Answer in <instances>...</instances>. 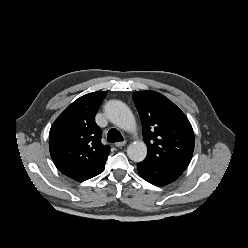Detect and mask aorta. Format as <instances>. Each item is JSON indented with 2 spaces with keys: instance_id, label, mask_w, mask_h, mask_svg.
I'll return each mask as SVG.
<instances>
[{
  "instance_id": "1",
  "label": "aorta",
  "mask_w": 248,
  "mask_h": 248,
  "mask_svg": "<svg viewBox=\"0 0 248 248\" xmlns=\"http://www.w3.org/2000/svg\"><path fill=\"white\" fill-rule=\"evenodd\" d=\"M105 114L117 127L125 131H134L136 121L129 107L119 100H110L106 103ZM128 157L134 162H141L147 155V147L143 141H134L127 148Z\"/></svg>"
}]
</instances>
